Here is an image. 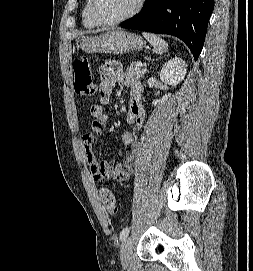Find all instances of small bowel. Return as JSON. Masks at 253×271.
Instances as JSON below:
<instances>
[{
    "instance_id": "c3829d8e",
    "label": "small bowel",
    "mask_w": 253,
    "mask_h": 271,
    "mask_svg": "<svg viewBox=\"0 0 253 271\" xmlns=\"http://www.w3.org/2000/svg\"><path fill=\"white\" fill-rule=\"evenodd\" d=\"M117 83L130 89V108L126 114L127 123L140 129L145 121V112L142 107L143 88L140 82L131 74L125 73L118 61H107L99 69L100 102L90 108L92 123L89 130L81 136L82 147L95 181H125L131 176L135 165L137 139L130 131L122 134V142L127 148L123 163L111 165L107 162H99L93 152L95 139L102 134L105 124L109 120V113L105 110V105L109 103Z\"/></svg>"
}]
</instances>
